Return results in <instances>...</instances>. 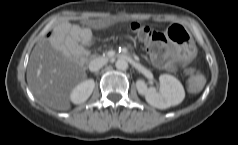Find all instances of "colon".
Segmentation results:
<instances>
[{
	"instance_id": "1",
	"label": "colon",
	"mask_w": 238,
	"mask_h": 145,
	"mask_svg": "<svg viewBox=\"0 0 238 145\" xmlns=\"http://www.w3.org/2000/svg\"><path fill=\"white\" fill-rule=\"evenodd\" d=\"M131 29L144 42L150 56L156 63H167V39L163 33L138 23H132ZM204 83L203 75L195 72L189 79V88L191 91L197 92L203 88Z\"/></svg>"
}]
</instances>
